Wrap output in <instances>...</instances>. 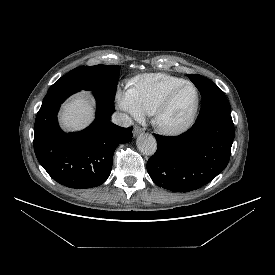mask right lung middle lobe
<instances>
[{
    "mask_svg": "<svg viewBox=\"0 0 275 275\" xmlns=\"http://www.w3.org/2000/svg\"><path fill=\"white\" fill-rule=\"evenodd\" d=\"M119 69L118 65L75 68L54 83L48 90L47 95L66 91L89 90L114 102Z\"/></svg>",
    "mask_w": 275,
    "mask_h": 275,
    "instance_id": "1",
    "label": "right lung middle lobe"
}]
</instances>
